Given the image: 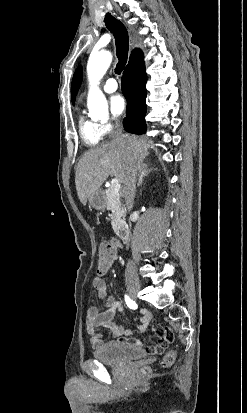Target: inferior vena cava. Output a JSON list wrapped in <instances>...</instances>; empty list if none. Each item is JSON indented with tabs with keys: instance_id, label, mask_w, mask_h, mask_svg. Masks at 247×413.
Here are the masks:
<instances>
[{
	"instance_id": "inferior-vena-cava-1",
	"label": "inferior vena cava",
	"mask_w": 247,
	"mask_h": 413,
	"mask_svg": "<svg viewBox=\"0 0 247 413\" xmlns=\"http://www.w3.org/2000/svg\"><path fill=\"white\" fill-rule=\"evenodd\" d=\"M112 140L113 142H130V136L129 134H123L122 128H117L114 132ZM126 150L127 160L123 174V192L127 209L131 211L135 196L136 176L138 170L141 168V164L139 156L132 144H128V146H126ZM125 281L126 283H130V281H138V275L133 261H128L126 265Z\"/></svg>"
}]
</instances>
